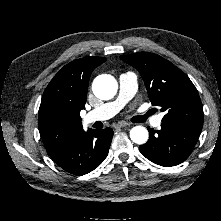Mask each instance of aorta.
Segmentation results:
<instances>
[{"label":"aorta","mask_w":221,"mask_h":221,"mask_svg":"<svg viewBox=\"0 0 221 221\" xmlns=\"http://www.w3.org/2000/svg\"><path fill=\"white\" fill-rule=\"evenodd\" d=\"M117 81L111 75H100L95 78L92 90L96 97L108 100L114 97L117 92ZM149 137L148 130L143 126H135L130 130V138L136 144H144Z\"/></svg>","instance_id":"1"}]
</instances>
